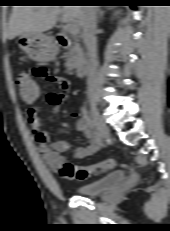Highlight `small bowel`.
Instances as JSON below:
<instances>
[{
  "mask_svg": "<svg viewBox=\"0 0 170 231\" xmlns=\"http://www.w3.org/2000/svg\"><path fill=\"white\" fill-rule=\"evenodd\" d=\"M31 76L35 80L51 81L61 85L63 89L62 92L50 93L48 96L50 104L54 106L53 113L57 114L65 98V82L61 78L51 75L48 69L41 64L32 67ZM73 116L76 117V129L81 132L88 141L86 146L76 148L73 156L75 159H83L97 152L101 147V141L99 142L96 140L93 133L88 129L87 123L83 117H79L77 114H73ZM27 120L38 144V150L44 163L52 170L58 169L66 160L64 153L69 148L68 143L65 141H49L47 132L41 129V117L36 109H30L28 111Z\"/></svg>",
  "mask_w": 170,
  "mask_h": 231,
  "instance_id": "obj_1",
  "label": "small bowel"
}]
</instances>
